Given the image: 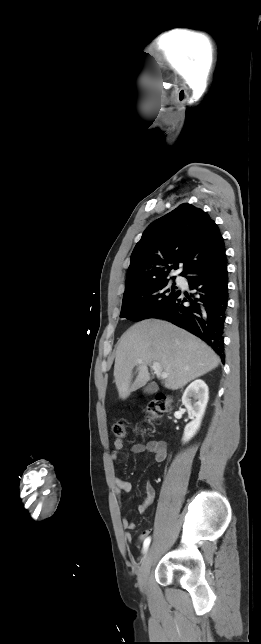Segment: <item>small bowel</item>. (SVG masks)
Listing matches in <instances>:
<instances>
[{
	"instance_id": "small-bowel-1",
	"label": "small bowel",
	"mask_w": 261,
	"mask_h": 644,
	"mask_svg": "<svg viewBox=\"0 0 261 644\" xmlns=\"http://www.w3.org/2000/svg\"><path fill=\"white\" fill-rule=\"evenodd\" d=\"M123 448V442L120 439H116L114 442V448L111 453V459L112 461H117L120 457L121 450ZM130 451L133 454H141L144 452H148L154 456V460L156 462H162L166 459L167 457V447L166 444L162 441H150L146 444L143 443H135L131 446ZM114 484L117 492H123V493H129L132 489V485L130 482L123 480L119 477L114 478ZM155 496V489L154 487L150 484L147 483L145 486V498L143 501L138 505L137 510L140 514L144 513L146 508L151 504ZM121 524L124 529L127 530H133L136 528V524L133 521H130L127 517H123L121 519ZM151 530L147 529L144 530L139 538L138 541L142 542L143 540L145 541L146 538L150 537ZM125 540L128 542H131L133 537L130 532H125L124 534Z\"/></svg>"
}]
</instances>
